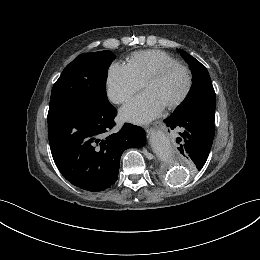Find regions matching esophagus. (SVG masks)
Segmentation results:
<instances>
[{"label":"esophagus","mask_w":260,"mask_h":260,"mask_svg":"<svg viewBox=\"0 0 260 260\" xmlns=\"http://www.w3.org/2000/svg\"><path fill=\"white\" fill-rule=\"evenodd\" d=\"M159 128V122H155L150 130H156Z\"/></svg>","instance_id":"obj_1"}]
</instances>
